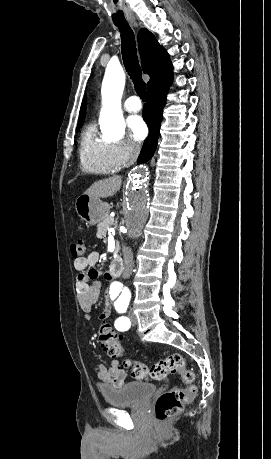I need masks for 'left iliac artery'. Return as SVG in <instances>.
Returning a JSON list of instances; mask_svg holds the SVG:
<instances>
[{"label":"left iliac artery","instance_id":"44dca946","mask_svg":"<svg viewBox=\"0 0 271 459\" xmlns=\"http://www.w3.org/2000/svg\"><path fill=\"white\" fill-rule=\"evenodd\" d=\"M128 307V303H115V308L117 309V313L122 315L124 311H126ZM131 326V322L127 317H120L115 321V328L119 331H127Z\"/></svg>","mask_w":271,"mask_h":459}]
</instances>
